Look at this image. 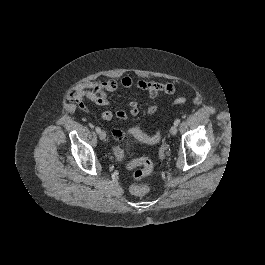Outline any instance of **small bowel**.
Returning <instances> with one entry per match:
<instances>
[{"mask_svg": "<svg viewBox=\"0 0 265 265\" xmlns=\"http://www.w3.org/2000/svg\"><path fill=\"white\" fill-rule=\"evenodd\" d=\"M169 86L172 94L174 92V87L171 83H158L153 81H145V80H138L135 81L129 76H123L119 81L115 79H107V80H94V81H87L82 83L78 87V95L80 97H86L88 100L94 102L97 105L105 106L109 103V95L111 93L116 92L119 87L123 88H138L141 90L146 91L150 97L154 98L158 95L159 92H164V88ZM165 93V92H164ZM84 108L83 104L80 105ZM158 111L157 105H151L147 113L149 116H153ZM129 113L132 116H136L139 113V107L137 102L132 101L129 104ZM116 116L119 119H125L127 114L124 110L120 109L116 112ZM101 118L104 121H111L113 119V113L111 111H104L101 114ZM119 130V129H113Z\"/></svg>", "mask_w": 265, "mask_h": 265, "instance_id": "obj_1", "label": "small bowel"}]
</instances>
